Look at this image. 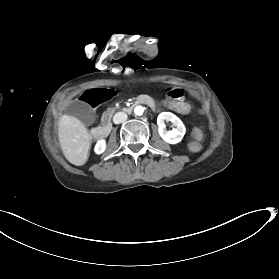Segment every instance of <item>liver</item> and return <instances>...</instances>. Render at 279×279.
Masks as SVG:
<instances>
[{
    "instance_id": "1",
    "label": "liver",
    "mask_w": 279,
    "mask_h": 279,
    "mask_svg": "<svg viewBox=\"0 0 279 279\" xmlns=\"http://www.w3.org/2000/svg\"><path fill=\"white\" fill-rule=\"evenodd\" d=\"M58 137L66 159L76 166L84 165L90 148V137L84 124L73 116L63 115Z\"/></svg>"
}]
</instances>
